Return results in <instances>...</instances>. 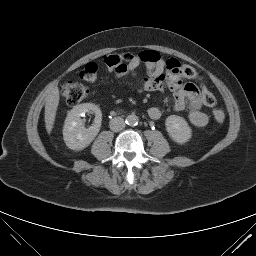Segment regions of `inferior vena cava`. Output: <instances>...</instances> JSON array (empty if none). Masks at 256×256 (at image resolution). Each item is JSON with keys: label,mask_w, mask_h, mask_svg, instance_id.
I'll return each instance as SVG.
<instances>
[{"label": "inferior vena cava", "mask_w": 256, "mask_h": 256, "mask_svg": "<svg viewBox=\"0 0 256 256\" xmlns=\"http://www.w3.org/2000/svg\"><path fill=\"white\" fill-rule=\"evenodd\" d=\"M110 129L114 132H118L124 129L125 127V122L124 119L121 117H114L110 122H109Z\"/></svg>", "instance_id": "inferior-vena-cava-1"}]
</instances>
